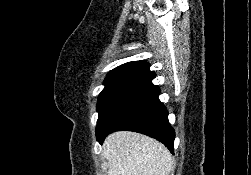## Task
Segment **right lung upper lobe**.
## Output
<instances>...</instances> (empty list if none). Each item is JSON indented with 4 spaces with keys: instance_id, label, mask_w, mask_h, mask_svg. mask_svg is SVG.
Here are the masks:
<instances>
[{
    "instance_id": "1",
    "label": "right lung upper lobe",
    "mask_w": 251,
    "mask_h": 175,
    "mask_svg": "<svg viewBox=\"0 0 251 175\" xmlns=\"http://www.w3.org/2000/svg\"><path fill=\"white\" fill-rule=\"evenodd\" d=\"M149 63L145 61H132L122 64L111 70L107 78L131 77L137 81H147L155 77V72L149 70Z\"/></svg>"
}]
</instances>
